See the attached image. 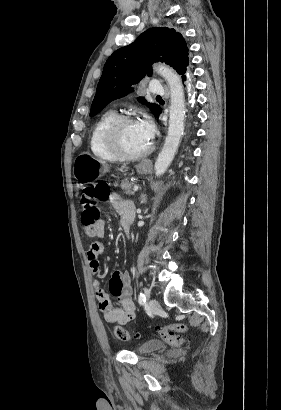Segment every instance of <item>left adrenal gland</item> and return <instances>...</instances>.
Masks as SVG:
<instances>
[{"label": "left adrenal gland", "instance_id": "1", "mask_svg": "<svg viewBox=\"0 0 281 410\" xmlns=\"http://www.w3.org/2000/svg\"><path fill=\"white\" fill-rule=\"evenodd\" d=\"M140 198H141V203H146L147 197L145 194H141Z\"/></svg>", "mask_w": 281, "mask_h": 410}]
</instances>
